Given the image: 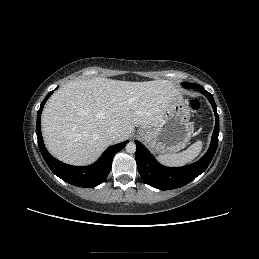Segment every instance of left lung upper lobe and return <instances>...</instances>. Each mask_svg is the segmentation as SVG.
<instances>
[{"label":"left lung upper lobe","instance_id":"5c2ea615","mask_svg":"<svg viewBox=\"0 0 259 259\" xmlns=\"http://www.w3.org/2000/svg\"><path fill=\"white\" fill-rule=\"evenodd\" d=\"M182 85L186 88H196L197 89V86L196 84H192V83H182Z\"/></svg>","mask_w":259,"mask_h":259}]
</instances>
